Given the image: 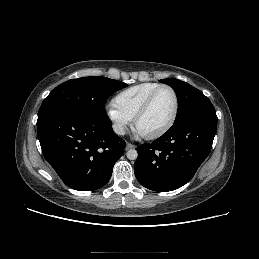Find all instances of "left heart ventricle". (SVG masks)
<instances>
[{
	"label": "left heart ventricle",
	"mask_w": 259,
	"mask_h": 259,
	"mask_svg": "<svg viewBox=\"0 0 259 259\" xmlns=\"http://www.w3.org/2000/svg\"><path fill=\"white\" fill-rule=\"evenodd\" d=\"M174 104L172 92L168 89L160 90L147 114L139 121L137 131L140 134H151L161 129L170 120Z\"/></svg>",
	"instance_id": "b2bd125f"
}]
</instances>
